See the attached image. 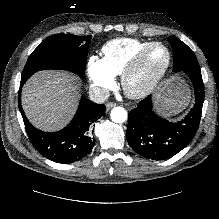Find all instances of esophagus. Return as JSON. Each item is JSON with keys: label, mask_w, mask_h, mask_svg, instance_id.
<instances>
[{"label": "esophagus", "mask_w": 219, "mask_h": 219, "mask_svg": "<svg viewBox=\"0 0 219 219\" xmlns=\"http://www.w3.org/2000/svg\"><path fill=\"white\" fill-rule=\"evenodd\" d=\"M116 103L109 102L106 104V110L109 111L111 108L115 107Z\"/></svg>", "instance_id": "esophagus-1"}]
</instances>
